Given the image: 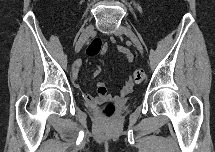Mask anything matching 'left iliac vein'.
Instances as JSON below:
<instances>
[{
  "label": "left iliac vein",
  "instance_id": "obj_1",
  "mask_svg": "<svg viewBox=\"0 0 215 152\" xmlns=\"http://www.w3.org/2000/svg\"><path fill=\"white\" fill-rule=\"evenodd\" d=\"M115 35H121L125 34L131 41L132 43L137 47V49L142 52V45L136 36V34L128 27L125 26H120L117 30L114 31Z\"/></svg>",
  "mask_w": 215,
  "mask_h": 152
}]
</instances>
